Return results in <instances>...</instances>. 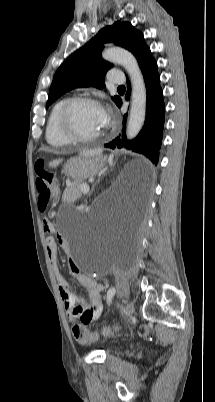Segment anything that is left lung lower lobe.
Listing matches in <instances>:
<instances>
[{
  "mask_svg": "<svg viewBox=\"0 0 215 402\" xmlns=\"http://www.w3.org/2000/svg\"><path fill=\"white\" fill-rule=\"evenodd\" d=\"M141 71L144 77L147 93L144 126L135 139L127 140L123 129L122 135L105 144V146L112 149L124 147L142 153L156 166L159 159V149L162 143L165 105L162 89L160 87L157 63L153 57L141 67ZM130 92V84L127 82V100L130 97ZM116 104L118 107L121 106V98ZM123 118V127L125 128L127 114H125Z\"/></svg>",
  "mask_w": 215,
  "mask_h": 402,
  "instance_id": "left-lung-lower-lobe-1",
  "label": "left lung lower lobe"
}]
</instances>
